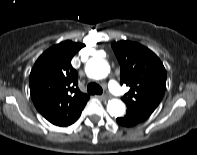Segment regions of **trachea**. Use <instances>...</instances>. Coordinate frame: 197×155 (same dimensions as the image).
<instances>
[{"instance_id": "1", "label": "trachea", "mask_w": 197, "mask_h": 155, "mask_svg": "<svg viewBox=\"0 0 197 155\" xmlns=\"http://www.w3.org/2000/svg\"><path fill=\"white\" fill-rule=\"evenodd\" d=\"M87 91L89 94H98L101 95L103 93L102 88L100 87V85L96 84V83H89L87 86Z\"/></svg>"}]
</instances>
